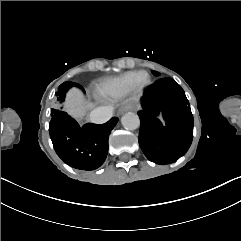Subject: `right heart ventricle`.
<instances>
[{
  "label": "right heart ventricle",
  "instance_id": "right-heart-ventricle-1",
  "mask_svg": "<svg viewBox=\"0 0 241 241\" xmlns=\"http://www.w3.org/2000/svg\"><path fill=\"white\" fill-rule=\"evenodd\" d=\"M131 84V75H125L119 78L108 79L97 85L96 91L101 95H108L118 90L125 89Z\"/></svg>",
  "mask_w": 241,
  "mask_h": 241
}]
</instances>
